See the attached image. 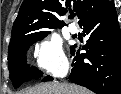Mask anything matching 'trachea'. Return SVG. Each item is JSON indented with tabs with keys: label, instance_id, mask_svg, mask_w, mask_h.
I'll return each mask as SVG.
<instances>
[{
	"label": "trachea",
	"instance_id": "3493384b",
	"mask_svg": "<svg viewBox=\"0 0 121 94\" xmlns=\"http://www.w3.org/2000/svg\"><path fill=\"white\" fill-rule=\"evenodd\" d=\"M74 17H75V15H74V14H71V15H70V18H71V19H73Z\"/></svg>",
	"mask_w": 121,
	"mask_h": 94
}]
</instances>
